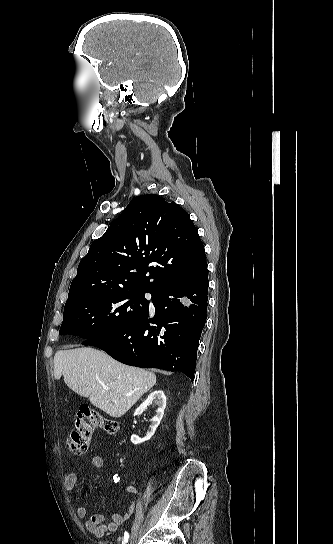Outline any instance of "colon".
<instances>
[{
  "mask_svg": "<svg viewBox=\"0 0 333 544\" xmlns=\"http://www.w3.org/2000/svg\"><path fill=\"white\" fill-rule=\"evenodd\" d=\"M95 429L115 434L119 425L116 420L104 416L97 410L82 407L78 413L75 427L67 439L69 450L75 455L83 454L89 446Z\"/></svg>",
  "mask_w": 333,
  "mask_h": 544,
  "instance_id": "colon-1",
  "label": "colon"
}]
</instances>
